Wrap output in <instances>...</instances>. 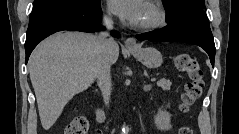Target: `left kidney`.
<instances>
[{
    "mask_svg": "<svg viewBox=\"0 0 239 134\" xmlns=\"http://www.w3.org/2000/svg\"><path fill=\"white\" fill-rule=\"evenodd\" d=\"M155 125L161 131L171 129V114L167 111L160 110L155 116Z\"/></svg>",
    "mask_w": 239,
    "mask_h": 134,
    "instance_id": "left-kidney-1",
    "label": "left kidney"
}]
</instances>
